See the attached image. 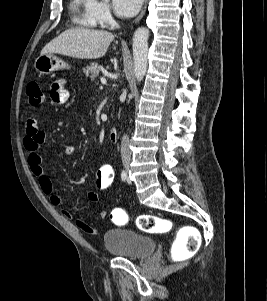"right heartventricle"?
I'll return each instance as SVG.
<instances>
[{
    "instance_id": "right-heart-ventricle-1",
    "label": "right heart ventricle",
    "mask_w": 267,
    "mask_h": 301,
    "mask_svg": "<svg viewBox=\"0 0 267 301\" xmlns=\"http://www.w3.org/2000/svg\"><path fill=\"white\" fill-rule=\"evenodd\" d=\"M70 9L75 24L87 28L96 26L90 16L91 0H72Z\"/></svg>"
}]
</instances>
